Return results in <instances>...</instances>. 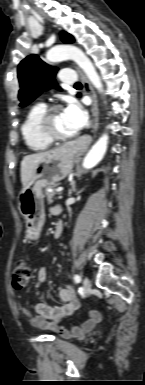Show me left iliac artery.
I'll return each instance as SVG.
<instances>
[{
  "instance_id": "1",
  "label": "left iliac artery",
  "mask_w": 145,
  "mask_h": 385,
  "mask_svg": "<svg viewBox=\"0 0 145 385\" xmlns=\"http://www.w3.org/2000/svg\"><path fill=\"white\" fill-rule=\"evenodd\" d=\"M74 281L76 282V283H80V281H81V277L79 276V275H75L74 276Z\"/></svg>"
}]
</instances>
